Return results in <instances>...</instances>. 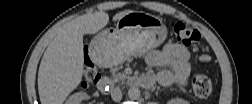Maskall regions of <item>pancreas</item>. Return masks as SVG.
Listing matches in <instances>:
<instances>
[{
  "mask_svg": "<svg viewBox=\"0 0 252 104\" xmlns=\"http://www.w3.org/2000/svg\"><path fill=\"white\" fill-rule=\"evenodd\" d=\"M127 78H128L127 75H125V74H119L117 77L114 78V81H115V82H118L119 80L124 81V80L127 79Z\"/></svg>",
  "mask_w": 252,
  "mask_h": 104,
  "instance_id": "obj_1",
  "label": "pancreas"
}]
</instances>
